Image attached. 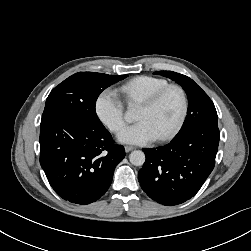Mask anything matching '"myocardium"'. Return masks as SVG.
<instances>
[{
	"mask_svg": "<svg viewBox=\"0 0 251 251\" xmlns=\"http://www.w3.org/2000/svg\"><path fill=\"white\" fill-rule=\"evenodd\" d=\"M171 90H175L180 96V99H181L180 113L176 122L173 124V126L167 132L158 136L156 138L157 141H166V140L171 139L177 134V132L182 127L185 121L186 115H187V111H188V97H187L186 91L184 90L182 86L178 84H168L162 87L161 89H159L158 91H156L155 93H153L151 96H149L148 98H146L140 103V106H144L146 108H152L155 105H157L159 101Z\"/></svg>",
	"mask_w": 251,
	"mask_h": 251,
	"instance_id": "f54148a6",
	"label": "myocardium"
}]
</instances>
